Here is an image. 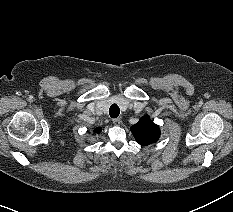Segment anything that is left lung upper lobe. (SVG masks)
I'll return each instance as SVG.
<instances>
[{"instance_id":"1","label":"left lung upper lobe","mask_w":233,"mask_h":212,"mask_svg":"<svg viewBox=\"0 0 233 212\" xmlns=\"http://www.w3.org/2000/svg\"><path fill=\"white\" fill-rule=\"evenodd\" d=\"M131 132L136 141L142 146L155 143L160 136L159 127L153 123L148 115L142 117L138 123L132 126Z\"/></svg>"}]
</instances>
